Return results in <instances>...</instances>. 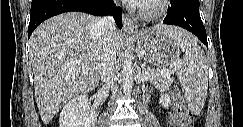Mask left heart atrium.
Masks as SVG:
<instances>
[{
	"mask_svg": "<svg viewBox=\"0 0 243 127\" xmlns=\"http://www.w3.org/2000/svg\"><path fill=\"white\" fill-rule=\"evenodd\" d=\"M131 5H138L142 2H144V0H129L128 1Z\"/></svg>",
	"mask_w": 243,
	"mask_h": 127,
	"instance_id": "1",
	"label": "left heart atrium"
}]
</instances>
